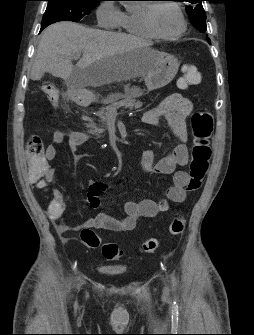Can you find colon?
Segmentation results:
<instances>
[{
	"instance_id": "5ec220e1",
	"label": "colon",
	"mask_w": 254,
	"mask_h": 335,
	"mask_svg": "<svg viewBox=\"0 0 254 335\" xmlns=\"http://www.w3.org/2000/svg\"><path fill=\"white\" fill-rule=\"evenodd\" d=\"M201 74L192 64L182 66V76L179 80V86L184 88L196 85L200 82ZM42 91L53 106L59 104V94L57 88L52 84L42 86ZM213 117L210 112L199 110L191 115V129L194 138L192 147V157L189 166V177L186 184L188 191H197L207 173L209 161L211 158L210 139L213 134ZM27 177L39 178V185H54L55 179L49 165L45 162L42 142L33 137L27 145ZM186 225V219L183 215H175L168 227L171 235H180L183 233ZM81 242L88 248L101 249L102 256L106 260H117L122 257L123 251L114 243L102 244L101 238L90 228H84L80 233ZM159 246L157 238L145 240L140 252L144 254H153Z\"/></svg>"
}]
</instances>
